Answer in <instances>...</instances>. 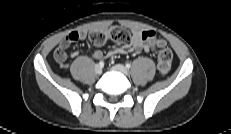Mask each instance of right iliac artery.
<instances>
[{"instance_id":"obj_1","label":"right iliac artery","mask_w":231,"mask_h":134,"mask_svg":"<svg viewBox=\"0 0 231 134\" xmlns=\"http://www.w3.org/2000/svg\"><path fill=\"white\" fill-rule=\"evenodd\" d=\"M99 65H100L101 67H103V66H104V62H103V61H100V62H99Z\"/></svg>"}]
</instances>
